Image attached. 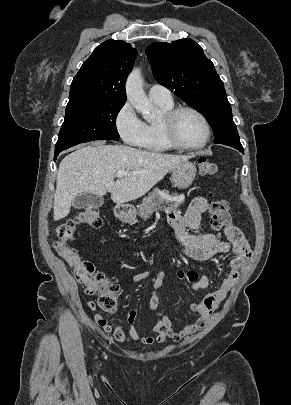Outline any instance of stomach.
<instances>
[{"label":"stomach","mask_w":291,"mask_h":405,"mask_svg":"<svg viewBox=\"0 0 291 405\" xmlns=\"http://www.w3.org/2000/svg\"><path fill=\"white\" fill-rule=\"evenodd\" d=\"M196 166L189 161H183L175 166L172 170V182L179 189L188 188L196 176ZM120 220L124 223H134L136 211H122L118 214Z\"/></svg>","instance_id":"obj_1"}]
</instances>
